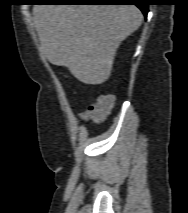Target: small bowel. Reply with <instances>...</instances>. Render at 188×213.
Listing matches in <instances>:
<instances>
[{
    "mask_svg": "<svg viewBox=\"0 0 188 213\" xmlns=\"http://www.w3.org/2000/svg\"><path fill=\"white\" fill-rule=\"evenodd\" d=\"M81 117L84 118V119H88L89 118V113L88 111H84L83 113H81Z\"/></svg>",
    "mask_w": 188,
    "mask_h": 213,
    "instance_id": "small-bowel-1",
    "label": "small bowel"
}]
</instances>
